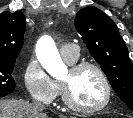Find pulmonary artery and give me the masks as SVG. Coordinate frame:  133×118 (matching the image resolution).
Instances as JSON below:
<instances>
[{
    "label": "pulmonary artery",
    "mask_w": 133,
    "mask_h": 118,
    "mask_svg": "<svg viewBox=\"0 0 133 118\" xmlns=\"http://www.w3.org/2000/svg\"><path fill=\"white\" fill-rule=\"evenodd\" d=\"M60 53L63 58L75 59L79 56V49L75 44H64L60 48Z\"/></svg>",
    "instance_id": "pulmonary-artery-1"
}]
</instances>
